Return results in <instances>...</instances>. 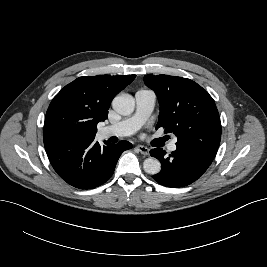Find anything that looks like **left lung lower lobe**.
<instances>
[{"instance_id": "0a47b994", "label": "left lung lower lobe", "mask_w": 267, "mask_h": 267, "mask_svg": "<svg viewBox=\"0 0 267 267\" xmlns=\"http://www.w3.org/2000/svg\"><path fill=\"white\" fill-rule=\"evenodd\" d=\"M177 149L168 157L162 148H155L150 155L160 160L161 171L153 178L161 185L178 188L199 179L212 163L217 149L176 145Z\"/></svg>"}]
</instances>
